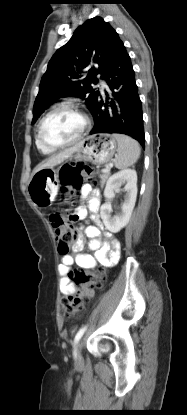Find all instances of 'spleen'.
<instances>
[{
  "instance_id": "3e777b00",
  "label": "spleen",
  "mask_w": 187,
  "mask_h": 415,
  "mask_svg": "<svg viewBox=\"0 0 187 415\" xmlns=\"http://www.w3.org/2000/svg\"><path fill=\"white\" fill-rule=\"evenodd\" d=\"M118 143L117 155L114 160L115 167L123 169L137 162L141 149L138 142L123 134H113Z\"/></svg>"
}]
</instances>
